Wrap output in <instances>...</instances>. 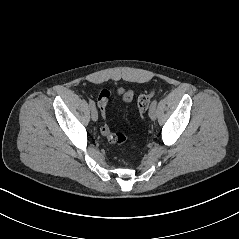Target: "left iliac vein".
<instances>
[{"label":"left iliac vein","mask_w":239,"mask_h":239,"mask_svg":"<svg viewBox=\"0 0 239 239\" xmlns=\"http://www.w3.org/2000/svg\"><path fill=\"white\" fill-rule=\"evenodd\" d=\"M149 116H150L151 120H153V121L156 120V118H157L156 108H151L149 110Z\"/></svg>","instance_id":"4c4485c4"}]
</instances>
